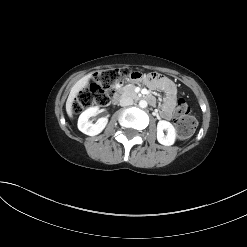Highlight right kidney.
<instances>
[{
  "instance_id": "1",
  "label": "right kidney",
  "mask_w": 247,
  "mask_h": 247,
  "mask_svg": "<svg viewBox=\"0 0 247 247\" xmlns=\"http://www.w3.org/2000/svg\"><path fill=\"white\" fill-rule=\"evenodd\" d=\"M98 113V107H91L86 109L78 119V129L89 136L98 135L103 131L108 123V118L102 117L97 120L96 123H92L89 121V118L92 116H96Z\"/></svg>"
}]
</instances>
